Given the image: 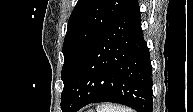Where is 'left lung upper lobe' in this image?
Masks as SVG:
<instances>
[{"mask_svg":"<svg viewBox=\"0 0 193 112\" xmlns=\"http://www.w3.org/2000/svg\"><path fill=\"white\" fill-rule=\"evenodd\" d=\"M132 0H78L72 11L63 44L64 64L61 79L64 100L70 82L83 57L101 33Z\"/></svg>","mask_w":193,"mask_h":112,"instance_id":"obj_1","label":"left lung upper lobe"}]
</instances>
